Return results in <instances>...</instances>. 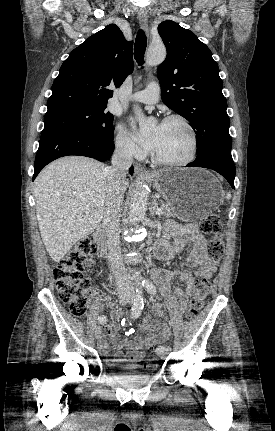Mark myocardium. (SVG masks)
Returning <instances> with one entry per match:
<instances>
[{
	"mask_svg": "<svg viewBox=\"0 0 275 431\" xmlns=\"http://www.w3.org/2000/svg\"><path fill=\"white\" fill-rule=\"evenodd\" d=\"M171 122H178L187 130L191 140V148H190L189 155L185 159L180 161H167L160 158L154 151H152L151 158L155 164L163 167L176 168V167H183V166L189 165L195 160L198 153L197 134L193 126L190 124V122L186 118L180 115L168 116L162 121V124L171 123Z\"/></svg>",
	"mask_w": 275,
	"mask_h": 431,
	"instance_id": "myocardium-1",
	"label": "myocardium"
}]
</instances>
